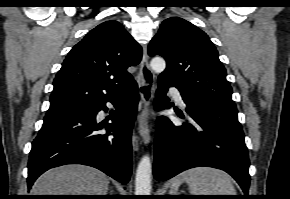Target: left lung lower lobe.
I'll list each match as a JSON object with an SVG mask.
<instances>
[{
  "mask_svg": "<svg viewBox=\"0 0 290 199\" xmlns=\"http://www.w3.org/2000/svg\"><path fill=\"white\" fill-rule=\"evenodd\" d=\"M158 86L154 106L163 109L168 102L166 92L172 85L158 79ZM181 95L190 120L178 125L166 117L159 118L154 146L155 179L168 180L194 167H214L229 173L248 198L249 158L236 107ZM178 116L184 118L182 113Z\"/></svg>",
  "mask_w": 290,
  "mask_h": 199,
  "instance_id": "obj_1",
  "label": "left lung lower lobe"
}]
</instances>
